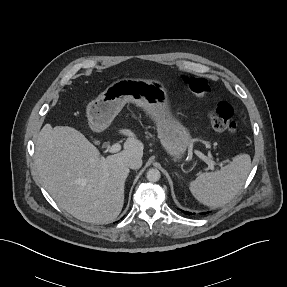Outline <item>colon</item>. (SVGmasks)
<instances>
[{
	"instance_id": "obj_1",
	"label": "colon",
	"mask_w": 287,
	"mask_h": 287,
	"mask_svg": "<svg viewBox=\"0 0 287 287\" xmlns=\"http://www.w3.org/2000/svg\"><path fill=\"white\" fill-rule=\"evenodd\" d=\"M181 81L201 100L206 101L209 99L211 88L207 79L182 75ZM232 114V107L226 103H221L209 110L208 117L212 127L216 131L235 133L237 126L232 120Z\"/></svg>"
}]
</instances>
